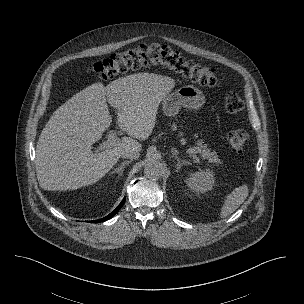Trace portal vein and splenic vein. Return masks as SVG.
Listing matches in <instances>:
<instances>
[{
  "mask_svg": "<svg viewBox=\"0 0 304 304\" xmlns=\"http://www.w3.org/2000/svg\"><path fill=\"white\" fill-rule=\"evenodd\" d=\"M119 142H120V139L118 138L117 133L115 131H111L108 134V139L105 142H103L102 144H100V148L101 149L110 148V147L117 145ZM191 157L195 162H199V158L197 157L196 154L192 153Z\"/></svg>",
  "mask_w": 304,
  "mask_h": 304,
  "instance_id": "obj_1",
  "label": "portal vein and splenic vein"
}]
</instances>
